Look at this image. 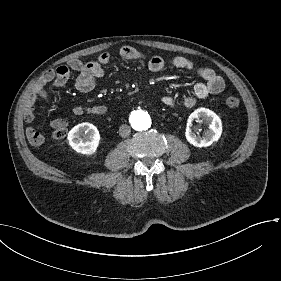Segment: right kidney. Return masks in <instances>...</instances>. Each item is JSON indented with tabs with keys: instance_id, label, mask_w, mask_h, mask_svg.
<instances>
[{
	"instance_id": "obj_1",
	"label": "right kidney",
	"mask_w": 281,
	"mask_h": 281,
	"mask_svg": "<svg viewBox=\"0 0 281 281\" xmlns=\"http://www.w3.org/2000/svg\"><path fill=\"white\" fill-rule=\"evenodd\" d=\"M100 140V134L96 126L84 122L71 129V147L82 154H93Z\"/></svg>"
}]
</instances>
